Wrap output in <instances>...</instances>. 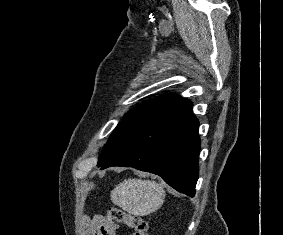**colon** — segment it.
Masks as SVG:
<instances>
[{
  "instance_id": "colon-1",
  "label": "colon",
  "mask_w": 283,
  "mask_h": 235,
  "mask_svg": "<svg viewBox=\"0 0 283 235\" xmlns=\"http://www.w3.org/2000/svg\"><path fill=\"white\" fill-rule=\"evenodd\" d=\"M108 218L127 225L133 230L132 235H148L149 222L143 217L131 215L117 207H111L108 210Z\"/></svg>"
}]
</instances>
